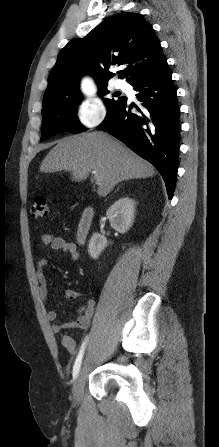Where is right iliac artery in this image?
<instances>
[{
    "label": "right iliac artery",
    "instance_id": "82829eb1",
    "mask_svg": "<svg viewBox=\"0 0 219 447\" xmlns=\"http://www.w3.org/2000/svg\"><path fill=\"white\" fill-rule=\"evenodd\" d=\"M85 340H87V339H85ZM86 342H87V341H84V342L82 343L81 349H80V351H79V353H78V355H77L75 364H74V366H73V377H74V378L77 377V375H78V373H79L80 366H81V362H82V358H83V355H84V350H85Z\"/></svg>",
    "mask_w": 219,
    "mask_h": 447
}]
</instances>
